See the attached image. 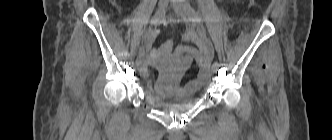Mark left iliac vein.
I'll list each match as a JSON object with an SVG mask.
<instances>
[{
	"label": "left iliac vein",
	"mask_w": 332,
	"mask_h": 140,
	"mask_svg": "<svg viewBox=\"0 0 332 140\" xmlns=\"http://www.w3.org/2000/svg\"><path fill=\"white\" fill-rule=\"evenodd\" d=\"M172 7L176 14L180 16L184 21H189L190 20V13L188 9V3L185 1H174L172 2ZM218 68L215 66H212V71L216 72Z\"/></svg>",
	"instance_id": "obj_1"
}]
</instances>
